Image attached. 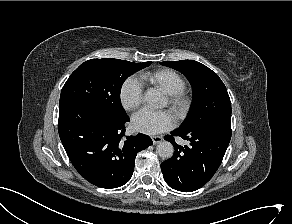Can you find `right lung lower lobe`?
<instances>
[{"instance_id": "right-lung-lower-lobe-1", "label": "right lung lower lobe", "mask_w": 292, "mask_h": 224, "mask_svg": "<svg viewBox=\"0 0 292 224\" xmlns=\"http://www.w3.org/2000/svg\"><path fill=\"white\" fill-rule=\"evenodd\" d=\"M127 115L108 116L80 101L59 104L58 131L79 174L101 188H117L132 177L136 155L152 145L149 136L124 137Z\"/></svg>"}]
</instances>
